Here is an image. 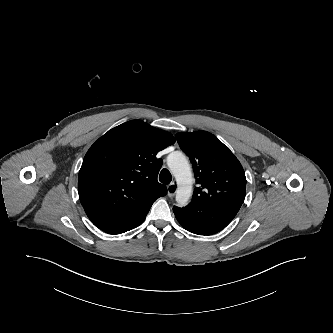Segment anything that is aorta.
Segmentation results:
<instances>
[{
  "instance_id": "762f6f07",
  "label": "aorta",
  "mask_w": 333,
  "mask_h": 333,
  "mask_svg": "<svg viewBox=\"0 0 333 333\" xmlns=\"http://www.w3.org/2000/svg\"><path fill=\"white\" fill-rule=\"evenodd\" d=\"M167 164L178 184L175 197L176 202L180 207L185 206L192 194V172L190 164L185 155L179 151L169 154Z\"/></svg>"
}]
</instances>
